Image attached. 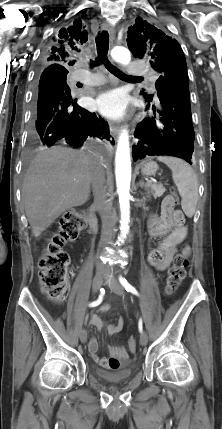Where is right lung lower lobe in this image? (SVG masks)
I'll return each instance as SVG.
<instances>
[{
    "label": "right lung lower lobe",
    "instance_id": "right-lung-lower-lobe-1",
    "mask_svg": "<svg viewBox=\"0 0 222 429\" xmlns=\"http://www.w3.org/2000/svg\"><path fill=\"white\" fill-rule=\"evenodd\" d=\"M76 100L61 75L46 67L39 78L33 113V130L43 145L81 147L89 137L110 140L108 123Z\"/></svg>",
    "mask_w": 222,
    "mask_h": 429
}]
</instances>
